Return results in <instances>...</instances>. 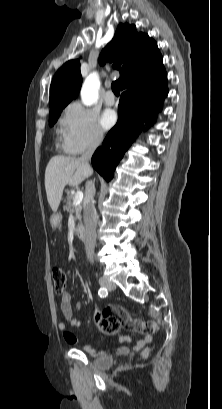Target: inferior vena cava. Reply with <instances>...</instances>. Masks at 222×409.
<instances>
[{
	"instance_id": "602c4592",
	"label": "inferior vena cava",
	"mask_w": 222,
	"mask_h": 409,
	"mask_svg": "<svg viewBox=\"0 0 222 409\" xmlns=\"http://www.w3.org/2000/svg\"><path fill=\"white\" fill-rule=\"evenodd\" d=\"M102 134L97 133L89 144L86 152L80 157V161L88 168L90 175L93 170L90 166L91 157L102 141ZM95 184L87 181L84 201V225H85V250L87 258L93 262L94 249L96 244L97 212L94 205Z\"/></svg>"
}]
</instances>
